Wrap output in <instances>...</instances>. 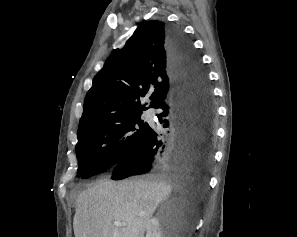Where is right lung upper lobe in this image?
<instances>
[{"label":"right lung upper lobe","mask_w":297,"mask_h":237,"mask_svg":"<svg viewBox=\"0 0 297 237\" xmlns=\"http://www.w3.org/2000/svg\"><path fill=\"white\" fill-rule=\"evenodd\" d=\"M167 28L161 21L144 22L122 49L111 53L86 95L78 135L110 117L146 110L140 100L151 92L152 108L170 98L174 78Z\"/></svg>","instance_id":"1"}]
</instances>
